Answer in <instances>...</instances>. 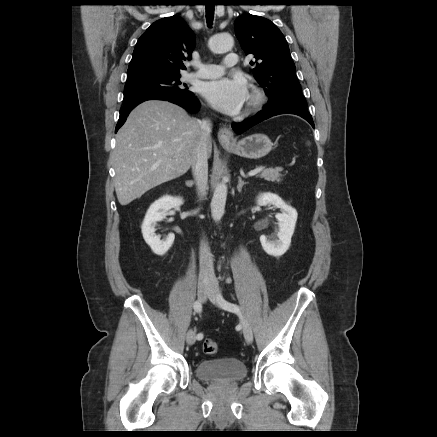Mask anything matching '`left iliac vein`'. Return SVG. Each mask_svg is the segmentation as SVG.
Returning <instances> with one entry per match:
<instances>
[{
	"label": "left iliac vein",
	"instance_id": "4c4485c4",
	"mask_svg": "<svg viewBox=\"0 0 437 437\" xmlns=\"http://www.w3.org/2000/svg\"><path fill=\"white\" fill-rule=\"evenodd\" d=\"M217 296H218V291L216 289L212 288L208 298L213 304H216V305L219 304ZM242 330H243L245 340L248 343H252V341H253L252 328H251L250 324L248 323V321L244 318L242 319Z\"/></svg>",
	"mask_w": 437,
	"mask_h": 437
}]
</instances>
